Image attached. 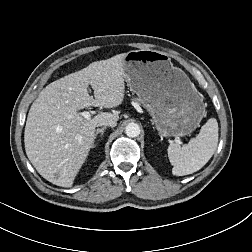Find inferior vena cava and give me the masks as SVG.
Wrapping results in <instances>:
<instances>
[{
    "label": "inferior vena cava",
    "mask_w": 252,
    "mask_h": 252,
    "mask_svg": "<svg viewBox=\"0 0 252 252\" xmlns=\"http://www.w3.org/2000/svg\"><path fill=\"white\" fill-rule=\"evenodd\" d=\"M117 125L116 121L109 120V121H102L98 124V126H110L115 127Z\"/></svg>",
    "instance_id": "inferior-vena-cava-1"
}]
</instances>
